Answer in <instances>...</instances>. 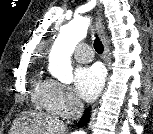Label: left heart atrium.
Here are the masks:
<instances>
[{
  "mask_svg": "<svg viewBox=\"0 0 153 134\" xmlns=\"http://www.w3.org/2000/svg\"><path fill=\"white\" fill-rule=\"evenodd\" d=\"M104 77V71L98 65L77 68L74 74L76 93L87 101L95 99L102 89Z\"/></svg>",
  "mask_w": 153,
  "mask_h": 134,
  "instance_id": "left-heart-atrium-1",
  "label": "left heart atrium"
}]
</instances>
